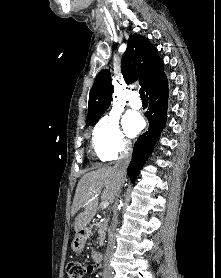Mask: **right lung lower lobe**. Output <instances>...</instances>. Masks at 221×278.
Returning <instances> with one entry per match:
<instances>
[{"label":"right lung lower lobe","mask_w":221,"mask_h":278,"mask_svg":"<svg viewBox=\"0 0 221 278\" xmlns=\"http://www.w3.org/2000/svg\"><path fill=\"white\" fill-rule=\"evenodd\" d=\"M145 91L149 98V108L145 113L149 121V128L138 138L133 148L132 159L127 169L132 183L136 181L142 166L152 153L154 143L166 123L168 108V83L166 75L163 73Z\"/></svg>","instance_id":"98d812e1"}]
</instances>
